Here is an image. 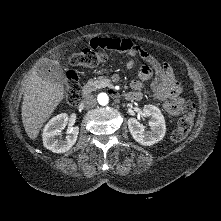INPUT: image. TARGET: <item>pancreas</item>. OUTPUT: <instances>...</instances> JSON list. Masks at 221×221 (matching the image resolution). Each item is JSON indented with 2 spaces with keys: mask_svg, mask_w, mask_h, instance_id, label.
<instances>
[{
  "mask_svg": "<svg viewBox=\"0 0 221 221\" xmlns=\"http://www.w3.org/2000/svg\"><path fill=\"white\" fill-rule=\"evenodd\" d=\"M112 83L109 78L106 76H100L96 79H90L88 80L85 88L89 89L90 91H94L96 89H101L105 87H111Z\"/></svg>",
  "mask_w": 221,
  "mask_h": 221,
  "instance_id": "pancreas-1",
  "label": "pancreas"
}]
</instances>
